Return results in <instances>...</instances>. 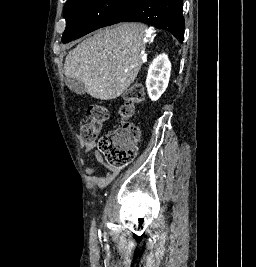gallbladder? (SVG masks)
Segmentation results:
<instances>
[{
  "label": "gallbladder",
  "instance_id": "gallbladder-1",
  "mask_svg": "<svg viewBox=\"0 0 256 267\" xmlns=\"http://www.w3.org/2000/svg\"><path fill=\"white\" fill-rule=\"evenodd\" d=\"M64 82L65 86H68L69 90H72L75 94H87V90L80 80H76V78H65Z\"/></svg>",
  "mask_w": 256,
  "mask_h": 267
}]
</instances>
